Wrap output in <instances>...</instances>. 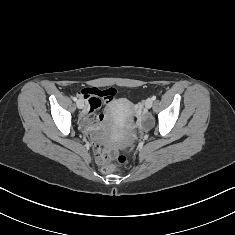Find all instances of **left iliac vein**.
Instances as JSON below:
<instances>
[{
  "label": "left iliac vein",
  "instance_id": "left-iliac-vein-1",
  "mask_svg": "<svg viewBox=\"0 0 235 235\" xmlns=\"http://www.w3.org/2000/svg\"><path fill=\"white\" fill-rule=\"evenodd\" d=\"M152 105H153V100H152V98L146 99V101H145V107H146L147 109H150V108L152 107Z\"/></svg>",
  "mask_w": 235,
  "mask_h": 235
}]
</instances>
